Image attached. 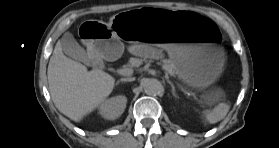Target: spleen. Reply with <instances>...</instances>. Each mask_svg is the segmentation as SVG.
<instances>
[{
  "label": "spleen",
  "instance_id": "1",
  "mask_svg": "<svg viewBox=\"0 0 279 148\" xmlns=\"http://www.w3.org/2000/svg\"><path fill=\"white\" fill-rule=\"evenodd\" d=\"M229 105L226 103H219L212 110L204 111L206 121L209 124H214L221 121L228 113Z\"/></svg>",
  "mask_w": 279,
  "mask_h": 148
}]
</instances>
